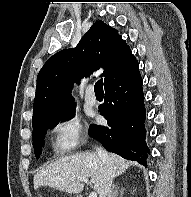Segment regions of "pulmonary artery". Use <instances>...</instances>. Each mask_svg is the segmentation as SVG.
Returning a JSON list of instances; mask_svg holds the SVG:
<instances>
[{"instance_id":"obj_1","label":"pulmonary artery","mask_w":191,"mask_h":197,"mask_svg":"<svg viewBox=\"0 0 191 197\" xmlns=\"http://www.w3.org/2000/svg\"><path fill=\"white\" fill-rule=\"evenodd\" d=\"M85 102L90 106H94L97 103L96 97L93 93V86L87 87L85 93Z\"/></svg>"}]
</instances>
